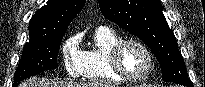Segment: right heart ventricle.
Masks as SVG:
<instances>
[{"label": "right heart ventricle", "mask_w": 205, "mask_h": 87, "mask_svg": "<svg viewBox=\"0 0 205 87\" xmlns=\"http://www.w3.org/2000/svg\"><path fill=\"white\" fill-rule=\"evenodd\" d=\"M121 40L112 29L98 27L90 38L88 47L82 51L83 63L80 75L96 84H119L123 80L112 71L109 63L111 49Z\"/></svg>", "instance_id": "obj_1"}]
</instances>
